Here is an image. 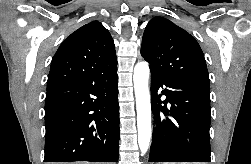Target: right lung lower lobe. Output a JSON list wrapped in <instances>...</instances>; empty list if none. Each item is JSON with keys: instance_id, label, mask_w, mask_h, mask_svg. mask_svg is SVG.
I'll use <instances>...</instances> for the list:
<instances>
[{"instance_id": "98d812e1", "label": "right lung lower lobe", "mask_w": 251, "mask_h": 164, "mask_svg": "<svg viewBox=\"0 0 251 164\" xmlns=\"http://www.w3.org/2000/svg\"><path fill=\"white\" fill-rule=\"evenodd\" d=\"M117 66L47 89L44 162H118Z\"/></svg>"}]
</instances>
